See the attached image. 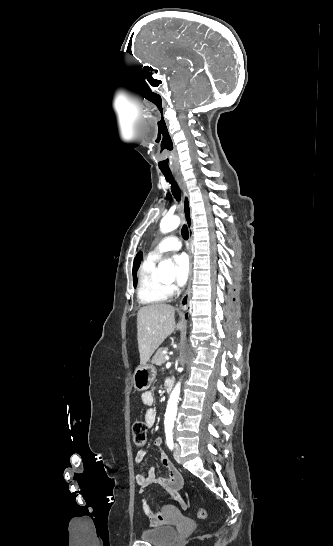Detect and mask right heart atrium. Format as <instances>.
I'll use <instances>...</instances> for the list:
<instances>
[{
    "mask_svg": "<svg viewBox=\"0 0 333 546\" xmlns=\"http://www.w3.org/2000/svg\"><path fill=\"white\" fill-rule=\"evenodd\" d=\"M166 288L169 293H172L174 291V286L169 285V286H166Z\"/></svg>",
    "mask_w": 333,
    "mask_h": 546,
    "instance_id": "1",
    "label": "right heart atrium"
}]
</instances>
